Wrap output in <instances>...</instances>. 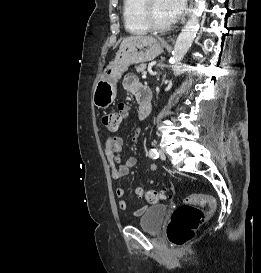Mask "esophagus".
Listing matches in <instances>:
<instances>
[{
  "label": "esophagus",
  "instance_id": "34e87169",
  "mask_svg": "<svg viewBox=\"0 0 261 273\" xmlns=\"http://www.w3.org/2000/svg\"><path fill=\"white\" fill-rule=\"evenodd\" d=\"M193 4H194V0H190V8H189V13L192 12L193 10Z\"/></svg>",
  "mask_w": 261,
  "mask_h": 273
}]
</instances>
